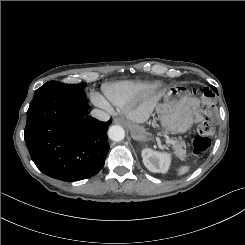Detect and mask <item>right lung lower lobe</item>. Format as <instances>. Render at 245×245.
Returning <instances> with one entry per match:
<instances>
[{
  "mask_svg": "<svg viewBox=\"0 0 245 245\" xmlns=\"http://www.w3.org/2000/svg\"><path fill=\"white\" fill-rule=\"evenodd\" d=\"M84 91L49 89L35 95L27 111L25 141L46 175L73 182L97 174L109 151L108 122L87 116Z\"/></svg>",
  "mask_w": 245,
  "mask_h": 245,
  "instance_id": "1",
  "label": "right lung lower lobe"
}]
</instances>
